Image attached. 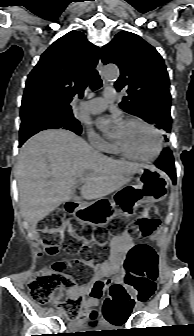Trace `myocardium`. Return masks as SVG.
I'll return each instance as SVG.
<instances>
[{"label":"myocardium","mask_w":194,"mask_h":336,"mask_svg":"<svg viewBox=\"0 0 194 336\" xmlns=\"http://www.w3.org/2000/svg\"><path fill=\"white\" fill-rule=\"evenodd\" d=\"M128 123L141 124L144 127L148 128L153 133V135L155 136V139H156V147H155L154 153L150 156L136 155V154L128 151L124 146H122L117 141L114 142V146L117 148V150L121 154H123L126 157H129V158H132V159H135V160L145 161V162H150V161L155 160L160 155V153L162 151V138H161L160 132L152 124L148 123L147 121H145L141 118H136V117L128 118V119H126L125 124H128Z\"/></svg>","instance_id":"obj_1"}]
</instances>
